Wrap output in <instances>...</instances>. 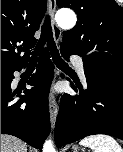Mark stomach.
Segmentation results:
<instances>
[{
  "instance_id": "obj_1",
  "label": "stomach",
  "mask_w": 123,
  "mask_h": 152,
  "mask_svg": "<svg viewBox=\"0 0 123 152\" xmlns=\"http://www.w3.org/2000/svg\"><path fill=\"white\" fill-rule=\"evenodd\" d=\"M83 151V150H82ZM73 152H80V149L77 146L73 147Z\"/></svg>"
}]
</instances>
